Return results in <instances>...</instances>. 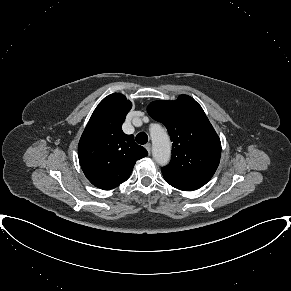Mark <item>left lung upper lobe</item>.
Masks as SVG:
<instances>
[{"label":"left lung upper lobe","mask_w":291,"mask_h":291,"mask_svg":"<svg viewBox=\"0 0 291 291\" xmlns=\"http://www.w3.org/2000/svg\"><path fill=\"white\" fill-rule=\"evenodd\" d=\"M147 111L165 125L173 142L171 161L162 172L206 184L219 165L221 142L201 106L180 95L174 101H154Z\"/></svg>","instance_id":"obj_1"}]
</instances>
